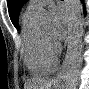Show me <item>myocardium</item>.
<instances>
[{"instance_id":"f54148a6","label":"myocardium","mask_w":89,"mask_h":89,"mask_svg":"<svg viewBox=\"0 0 89 89\" xmlns=\"http://www.w3.org/2000/svg\"><path fill=\"white\" fill-rule=\"evenodd\" d=\"M41 38L43 40V43H44V46H45V49L46 51L54 56L55 58L57 57V54L59 53L60 51V47L57 43H55L51 37L45 35L42 31H41Z\"/></svg>"}]
</instances>
